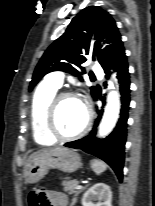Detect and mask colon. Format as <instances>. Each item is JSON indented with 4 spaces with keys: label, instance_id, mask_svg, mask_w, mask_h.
<instances>
[{
    "label": "colon",
    "instance_id": "colon-1",
    "mask_svg": "<svg viewBox=\"0 0 155 206\" xmlns=\"http://www.w3.org/2000/svg\"><path fill=\"white\" fill-rule=\"evenodd\" d=\"M43 190H37L29 195V205L39 206L42 201H45V195L41 192Z\"/></svg>",
    "mask_w": 155,
    "mask_h": 206
}]
</instances>
